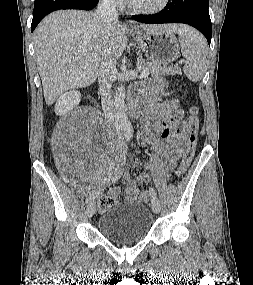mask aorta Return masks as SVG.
<instances>
[{
	"mask_svg": "<svg viewBox=\"0 0 253 285\" xmlns=\"http://www.w3.org/2000/svg\"><path fill=\"white\" fill-rule=\"evenodd\" d=\"M125 95V86L121 84L118 86L114 95V117L120 130L124 134L131 135L133 132V127L125 110Z\"/></svg>",
	"mask_w": 253,
	"mask_h": 285,
	"instance_id": "1",
	"label": "aorta"
}]
</instances>
